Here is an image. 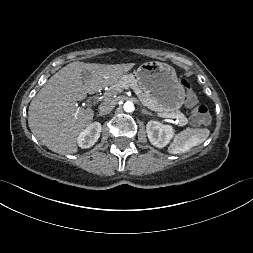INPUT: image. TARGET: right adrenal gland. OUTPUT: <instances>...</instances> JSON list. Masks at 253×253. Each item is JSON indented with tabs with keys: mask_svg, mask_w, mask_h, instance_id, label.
Returning <instances> with one entry per match:
<instances>
[{
	"mask_svg": "<svg viewBox=\"0 0 253 253\" xmlns=\"http://www.w3.org/2000/svg\"><path fill=\"white\" fill-rule=\"evenodd\" d=\"M97 117H104V116H103V115H101V114H98V115H97Z\"/></svg>",
	"mask_w": 253,
	"mask_h": 253,
	"instance_id": "1",
	"label": "right adrenal gland"
}]
</instances>
